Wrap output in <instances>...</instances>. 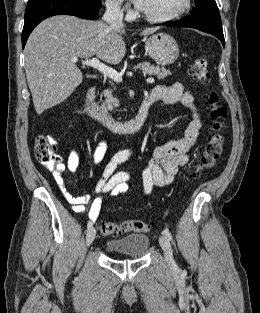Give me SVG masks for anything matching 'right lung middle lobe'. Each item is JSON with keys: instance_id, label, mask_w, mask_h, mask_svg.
Segmentation results:
<instances>
[{"instance_id": "obj_1", "label": "right lung middle lobe", "mask_w": 260, "mask_h": 313, "mask_svg": "<svg viewBox=\"0 0 260 313\" xmlns=\"http://www.w3.org/2000/svg\"><path fill=\"white\" fill-rule=\"evenodd\" d=\"M92 1H98V2H100L101 0H92Z\"/></svg>"}]
</instances>
